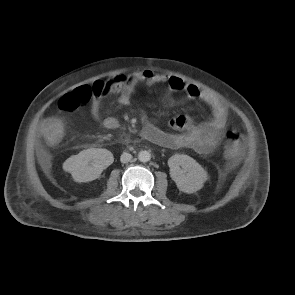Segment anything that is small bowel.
Returning <instances> with one entry per match:
<instances>
[{
    "instance_id": "1",
    "label": "small bowel",
    "mask_w": 295,
    "mask_h": 295,
    "mask_svg": "<svg viewBox=\"0 0 295 295\" xmlns=\"http://www.w3.org/2000/svg\"><path fill=\"white\" fill-rule=\"evenodd\" d=\"M130 77L132 78L131 84L119 92V101L124 105L131 102L133 95L141 87H151L163 83L167 85L169 92H180L188 98L200 100L207 104L212 111V117L201 124H196L192 118L186 115H178L172 118L170 127L175 131L172 133L147 123L142 130L144 139L162 147L188 148L200 154H209L218 147L228 131V108L219 98L200 89L195 84L185 82L173 75L144 70L134 73ZM93 84H90V86ZM107 95L95 97L90 105L89 113L103 127L115 130L120 126L115 117L100 118L101 100Z\"/></svg>"
}]
</instances>
